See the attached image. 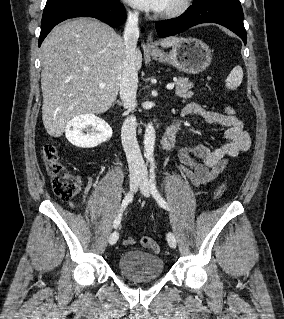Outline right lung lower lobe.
Here are the masks:
<instances>
[{
    "mask_svg": "<svg viewBox=\"0 0 284 319\" xmlns=\"http://www.w3.org/2000/svg\"><path fill=\"white\" fill-rule=\"evenodd\" d=\"M74 17L97 18L112 27L125 21V9L119 0L114 2L98 0H70L44 9L41 21L39 46L47 34L58 23Z\"/></svg>",
    "mask_w": 284,
    "mask_h": 319,
    "instance_id": "right-lung-lower-lobe-1",
    "label": "right lung lower lobe"
}]
</instances>
